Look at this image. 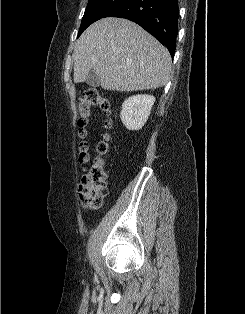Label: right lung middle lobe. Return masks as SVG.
Listing matches in <instances>:
<instances>
[{
    "instance_id": "1",
    "label": "right lung middle lobe",
    "mask_w": 245,
    "mask_h": 314,
    "mask_svg": "<svg viewBox=\"0 0 245 314\" xmlns=\"http://www.w3.org/2000/svg\"><path fill=\"white\" fill-rule=\"evenodd\" d=\"M126 0H89L82 18L78 37L93 22L104 18L107 13L124 3Z\"/></svg>"
}]
</instances>
